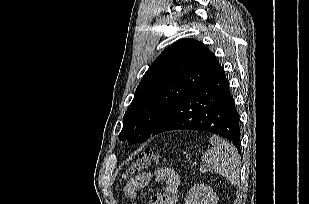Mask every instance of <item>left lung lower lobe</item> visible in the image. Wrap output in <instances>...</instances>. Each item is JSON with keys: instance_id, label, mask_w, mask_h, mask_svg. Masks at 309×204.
I'll list each match as a JSON object with an SVG mask.
<instances>
[{"instance_id": "obj_1", "label": "left lung lower lobe", "mask_w": 309, "mask_h": 204, "mask_svg": "<svg viewBox=\"0 0 309 204\" xmlns=\"http://www.w3.org/2000/svg\"><path fill=\"white\" fill-rule=\"evenodd\" d=\"M178 129L218 134L241 152L239 115L222 68L177 102L150 136Z\"/></svg>"}]
</instances>
